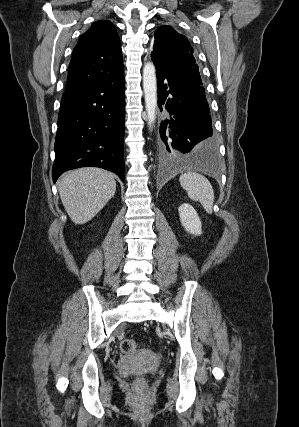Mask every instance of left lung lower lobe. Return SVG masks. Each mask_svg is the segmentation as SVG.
I'll return each instance as SVG.
<instances>
[{"label": "left lung lower lobe", "mask_w": 299, "mask_h": 427, "mask_svg": "<svg viewBox=\"0 0 299 427\" xmlns=\"http://www.w3.org/2000/svg\"><path fill=\"white\" fill-rule=\"evenodd\" d=\"M151 58L156 67L158 106L170 115L160 124L161 158L216 171L217 143L205 90L190 78L193 55L186 50L152 52Z\"/></svg>", "instance_id": "0a47b994"}]
</instances>
